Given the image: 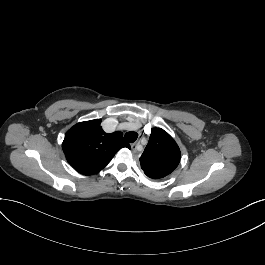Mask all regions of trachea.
<instances>
[{
    "instance_id": "trachea-1",
    "label": "trachea",
    "mask_w": 265,
    "mask_h": 265,
    "mask_svg": "<svg viewBox=\"0 0 265 265\" xmlns=\"http://www.w3.org/2000/svg\"><path fill=\"white\" fill-rule=\"evenodd\" d=\"M138 135L136 132H127L125 134V139L126 141H128L129 143H133L134 141H136Z\"/></svg>"
}]
</instances>
